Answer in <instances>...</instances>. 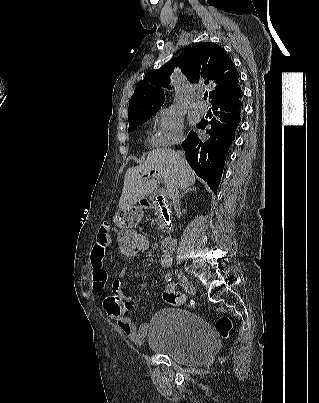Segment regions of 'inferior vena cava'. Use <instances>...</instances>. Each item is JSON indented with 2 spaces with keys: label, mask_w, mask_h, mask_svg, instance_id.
Instances as JSON below:
<instances>
[{
  "label": "inferior vena cava",
  "mask_w": 319,
  "mask_h": 403,
  "mask_svg": "<svg viewBox=\"0 0 319 403\" xmlns=\"http://www.w3.org/2000/svg\"><path fill=\"white\" fill-rule=\"evenodd\" d=\"M180 157L184 156V153L182 151L178 152ZM170 197L173 200V205H174V209L176 212H178L179 210V186L178 185H174L172 190L170 191Z\"/></svg>",
  "instance_id": "602c4592"
}]
</instances>
